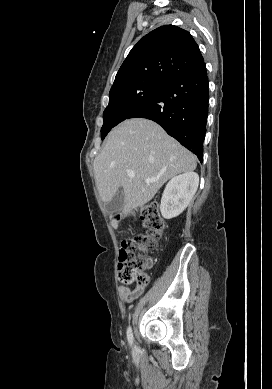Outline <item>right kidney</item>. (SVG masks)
Returning <instances> with one entry per match:
<instances>
[{
    "label": "right kidney",
    "instance_id": "ca27d5eb",
    "mask_svg": "<svg viewBox=\"0 0 272 389\" xmlns=\"http://www.w3.org/2000/svg\"><path fill=\"white\" fill-rule=\"evenodd\" d=\"M199 175L185 172L173 177L166 185L162 195L160 211L165 219L179 216L189 205L197 191Z\"/></svg>",
    "mask_w": 272,
    "mask_h": 389
}]
</instances>
